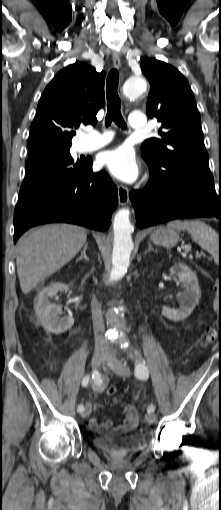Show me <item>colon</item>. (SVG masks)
Listing matches in <instances>:
<instances>
[{
  "mask_svg": "<svg viewBox=\"0 0 221 510\" xmlns=\"http://www.w3.org/2000/svg\"><path fill=\"white\" fill-rule=\"evenodd\" d=\"M218 338H221V324L219 326H214V327L208 328V330L206 331V333L204 335L203 343L205 345H210ZM115 393H116V388L114 386H110L108 388V394L114 395ZM115 402H118V400H115ZM138 418H139L138 412L133 411L130 413V415L128 417V421L130 423H137Z\"/></svg>",
  "mask_w": 221,
  "mask_h": 510,
  "instance_id": "1",
  "label": "colon"
}]
</instances>
